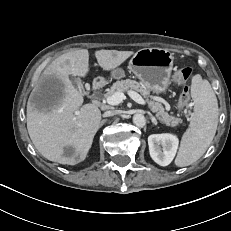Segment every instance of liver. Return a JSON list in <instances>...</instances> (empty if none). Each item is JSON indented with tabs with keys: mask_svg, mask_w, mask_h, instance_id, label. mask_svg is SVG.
<instances>
[{
	"mask_svg": "<svg viewBox=\"0 0 231 231\" xmlns=\"http://www.w3.org/2000/svg\"><path fill=\"white\" fill-rule=\"evenodd\" d=\"M133 51L98 50L95 57L103 70L117 68ZM89 72V52L74 49L56 58L42 73L27 103V129L42 156L60 164L74 165L83 161L99 129L101 112L95 104H83L82 94L73 86L69 75L86 77ZM41 85L38 101L33 96ZM48 93L49 96H45ZM67 147L74 154L65 156Z\"/></svg>",
	"mask_w": 231,
	"mask_h": 231,
	"instance_id": "liver-1",
	"label": "liver"
}]
</instances>
